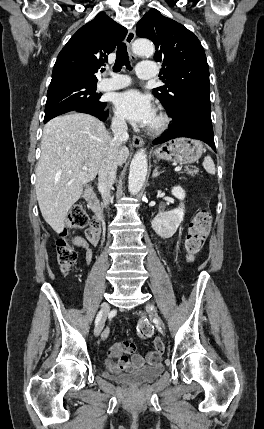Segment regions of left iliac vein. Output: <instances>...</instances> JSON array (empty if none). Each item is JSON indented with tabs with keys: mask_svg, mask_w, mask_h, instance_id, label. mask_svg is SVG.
<instances>
[{
	"mask_svg": "<svg viewBox=\"0 0 264 429\" xmlns=\"http://www.w3.org/2000/svg\"><path fill=\"white\" fill-rule=\"evenodd\" d=\"M146 307L149 310H151V312L154 314V316L156 317V319H158V321L160 322L161 329L162 330H166L164 333L167 335L169 332L167 331V325L165 324L163 316H161V314L159 312H157V310L155 309V307L153 306V304L147 303Z\"/></svg>",
	"mask_w": 264,
	"mask_h": 429,
	"instance_id": "4c4485c4",
	"label": "left iliac vein"
}]
</instances>
